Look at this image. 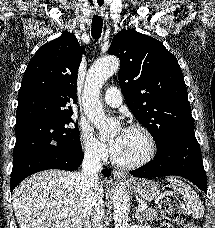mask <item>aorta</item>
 <instances>
[{
    "label": "aorta",
    "mask_w": 215,
    "mask_h": 228,
    "mask_svg": "<svg viewBox=\"0 0 215 228\" xmlns=\"http://www.w3.org/2000/svg\"><path fill=\"white\" fill-rule=\"evenodd\" d=\"M119 68L120 62L118 58H102V60L94 62L89 70L83 108L88 120L99 130L102 136H105L107 132L109 134V126H107L106 116L98 100L99 88ZM113 218L115 228H129V196L126 190L120 188L119 184L113 192Z\"/></svg>",
    "instance_id": "aorta-1"
}]
</instances>
